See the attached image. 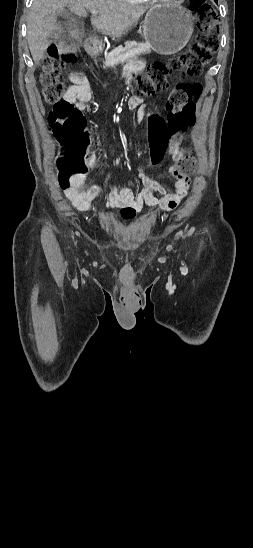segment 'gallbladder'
Listing matches in <instances>:
<instances>
[{"mask_svg": "<svg viewBox=\"0 0 253 548\" xmlns=\"http://www.w3.org/2000/svg\"><path fill=\"white\" fill-rule=\"evenodd\" d=\"M68 14H69L68 11H61V12L59 13V15L62 16V17H65V16H67Z\"/></svg>", "mask_w": 253, "mask_h": 548, "instance_id": "gallbladder-1", "label": "gallbladder"}]
</instances>
